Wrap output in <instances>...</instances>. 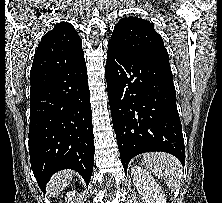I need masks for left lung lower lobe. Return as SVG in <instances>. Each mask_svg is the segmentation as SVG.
I'll return each instance as SVG.
<instances>
[{
    "mask_svg": "<svg viewBox=\"0 0 222 203\" xmlns=\"http://www.w3.org/2000/svg\"><path fill=\"white\" fill-rule=\"evenodd\" d=\"M105 76L125 173L134 156L150 151L170 153L184 166V139L169 61L131 56L108 46Z\"/></svg>",
    "mask_w": 222,
    "mask_h": 203,
    "instance_id": "0a47b994",
    "label": "left lung lower lobe"
}]
</instances>
